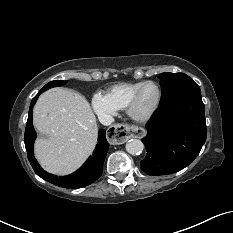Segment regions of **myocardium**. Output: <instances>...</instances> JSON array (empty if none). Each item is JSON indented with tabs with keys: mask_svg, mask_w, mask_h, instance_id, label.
Returning <instances> with one entry per match:
<instances>
[{
	"mask_svg": "<svg viewBox=\"0 0 233 233\" xmlns=\"http://www.w3.org/2000/svg\"><path fill=\"white\" fill-rule=\"evenodd\" d=\"M147 85H153L157 88L158 91V97H157V101L155 103V105L147 112L145 113H139L137 111V105H138V101H139V97L140 94L142 92V90L144 89V87H146ZM162 89L159 86L158 83L154 82V81H145L143 82L133 93V95L131 96L127 107H126V112L128 114V116L133 119L134 121L137 122H146L148 121L158 110L161 101H162Z\"/></svg>",
	"mask_w": 233,
	"mask_h": 233,
	"instance_id": "obj_1",
	"label": "myocardium"
}]
</instances>
